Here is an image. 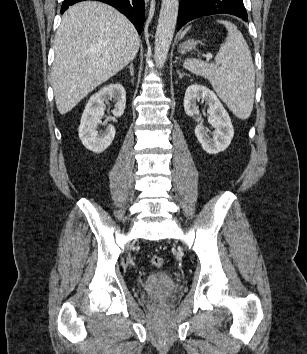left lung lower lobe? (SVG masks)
Masks as SVG:
<instances>
[{"label": "left lung lower lobe", "instance_id": "obj_1", "mask_svg": "<svg viewBox=\"0 0 307 354\" xmlns=\"http://www.w3.org/2000/svg\"><path fill=\"white\" fill-rule=\"evenodd\" d=\"M226 13L247 22V12L243 0H180L177 19L178 30L187 22L207 15Z\"/></svg>", "mask_w": 307, "mask_h": 354}]
</instances>
